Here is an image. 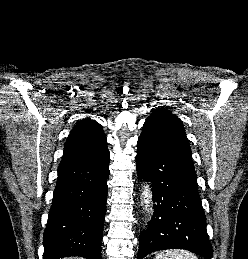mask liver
I'll return each mask as SVG.
<instances>
[{
    "label": "liver",
    "instance_id": "6515ba94",
    "mask_svg": "<svg viewBox=\"0 0 248 259\" xmlns=\"http://www.w3.org/2000/svg\"><path fill=\"white\" fill-rule=\"evenodd\" d=\"M65 259H82V258H65Z\"/></svg>",
    "mask_w": 248,
    "mask_h": 259
}]
</instances>
